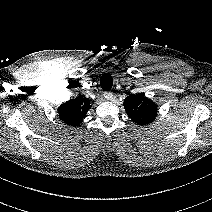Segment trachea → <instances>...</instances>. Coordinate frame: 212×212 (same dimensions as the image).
I'll return each instance as SVG.
<instances>
[{
	"instance_id": "1",
	"label": "trachea",
	"mask_w": 212,
	"mask_h": 212,
	"mask_svg": "<svg viewBox=\"0 0 212 212\" xmlns=\"http://www.w3.org/2000/svg\"><path fill=\"white\" fill-rule=\"evenodd\" d=\"M100 84H101V88L104 91H109L111 90L112 86H113V78L111 75L109 74H103L100 78Z\"/></svg>"
}]
</instances>
